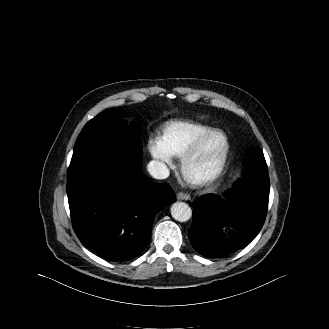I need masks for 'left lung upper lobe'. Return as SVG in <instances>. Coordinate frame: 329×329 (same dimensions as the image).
Instances as JSON below:
<instances>
[{
	"label": "left lung upper lobe",
	"mask_w": 329,
	"mask_h": 329,
	"mask_svg": "<svg viewBox=\"0 0 329 329\" xmlns=\"http://www.w3.org/2000/svg\"><path fill=\"white\" fill-rule=\"evenodd\" d=\"M251 165V166H261L265 165L266 166V161L264 158V155L261 150H255L252 152L246 161V166Z\"/></svg>",
	"instance_id": "left-lung-upper-lobe-1"
}]
</instances>
